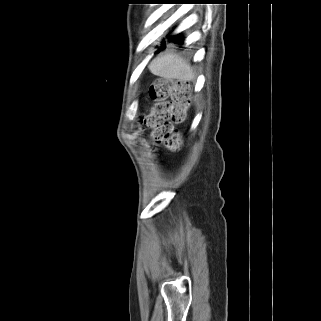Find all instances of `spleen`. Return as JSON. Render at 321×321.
<instances>
[{
	"label": "spleen",
	"instance_id": "3e777b00",
	"mask_svg": "<svg viewBox=\"0 0 321 321\" xmlns=\"http://www.w3.org/2000/svg\"><path fill=\"white\" fill-rule=\"evenodd\" d=\"M148 67L152 74L165 79L180 81L194 79V73L190 65L176 54L159 55L151 61Z\"/></svg>",
	"mask_w": 321,
	"mask_h": 321
}]
</instances>
